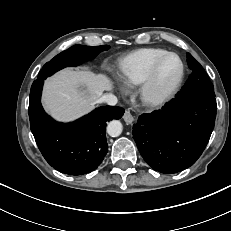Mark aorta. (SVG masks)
Instances as JSON below:
<instances>
[{
  "label": "aorta",
  "mask_w": 231,
  "mask_h": 231,
  "mask_svg": "<svg viewBox=\"0 0 231 231\" xmlns=\"http://www.w3.org/2000/svg\"><path fill=\"white\" fill-rule=\"evenodd\" d=\"M123 131V125L119 120H112L107 126V133L111 137H118Z\"/></svg>",
  "instance_id": "762f6f07"
}]
</instances>
